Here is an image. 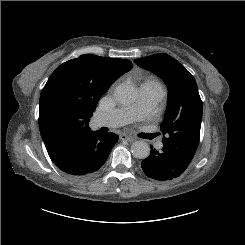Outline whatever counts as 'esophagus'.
I'll return each instance as SVG.
<instances>
[{
	"label": "esophagus",
	"mask_w": 245,
	"mask_h": 245,
	"mask_svg": "<svg viewBox=\"0 0 245 245\" xmlns=\"http://www.w3.org/2000/svg\"><path fill=\"white\" fill-rule=\"evenodd\" d=\"M119 138H120L121 140H127V141H129V142H132V141L135 140L134 137H132V136H130V135H127V134H125V133L120 134V135H119Z\"/></svg>",
	"instance_id": "1"
}]
</instances>
